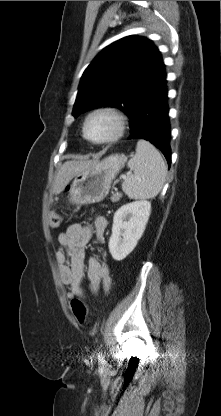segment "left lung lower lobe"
I'll return each mask as SVG.
<instances>
[{
	"mask_svg": "<svg viewBox=\"0 0 221 416\" xmlns=\"http://www.w3.org/2000/svg\"><path fill=\"white\" fill-rule=\"evenodd\" d=\"M166 73H162L145 96L138 103L131 122V134L128 139H145L155 145L171 165L170 122L167 102Z\"/></svg>",
	"mask_w": 221,
	"mask_h": 416,
	"instance_id": "1",
	"label": "left lung lower lobe"
}]
</instances>
